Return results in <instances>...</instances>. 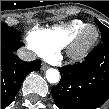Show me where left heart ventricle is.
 Segmentation results:
<instances>
[{
    "instance_id": "1",
    "label": "left heart ventricle",
    "mask_w": 109,
    "mask_h": 109,
    "mask_svg": "<svg viewBox=\"0 0 109 109\" xmlns=\"http://www.w3.org/2000/svg\"><path fill=\"white\" fill-rule=\"evenodd\" d=\"M95 34L96 33L94 29H89L83 37L82 45L89 43L95 37Z\"/></svg>"
}]
</instances>
